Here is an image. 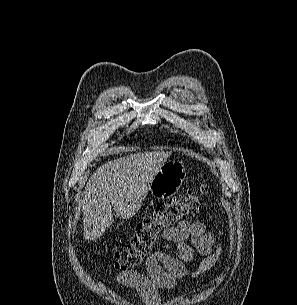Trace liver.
I'll return each instance as SVG.
<instances>
[{
  "label": "liver",
  "instance_id": "liver-1",
  "mask_svg": "<svg viewBox=\"0 0 297 305\" xmlns=\"http://www.w3.org/2000/svg\"><path fill=\"white\" fill-rule=\"evenodd\" d=\"M170 152H140L105 163L90 177L83 198L86 240L100 238L118 216L130 219L141 208L150 183Z\"/></svg>",
  "mask_w": 297,
  "mask_h": 305
}]
</instances>
